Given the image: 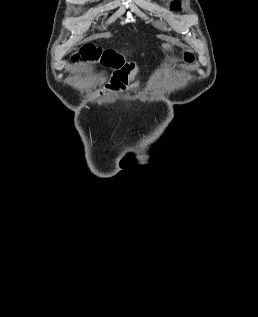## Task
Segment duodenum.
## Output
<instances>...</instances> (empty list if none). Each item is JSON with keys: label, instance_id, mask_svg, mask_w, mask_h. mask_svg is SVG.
<instances>
[{"label": "duodenum", "instance_id": "obj_1", "mask_svg": "<svg viewBox=\"0 0 258 317\" xmlns=\"http://www.w3.org/2000/svg\"><path fill=\"white\" fill-rule=\"evenodd\" d=\"M135 76V69L131 65H124L113 73L107 88L115 93L127 90Z\"/></svg>", "mask_w": 258, "mask_h": 317}]
</instances>
